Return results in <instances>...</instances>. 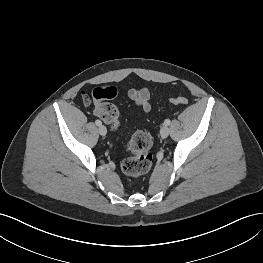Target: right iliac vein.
Listing matches in <instances>:
<instances>
[{
	"label": "right iliac vein",
	"mask_w": 263,
	"mask_h": 263,
	"mask_svg": "<svg viewBox=\"0 0 263 263\" xmlns=\"http://www.w3.org/2000/svg\"><path fill=\"white\" fill-rule=\"evenodd\" d=\"M98 131H99L100 135H102V136H105L107 134V129L103 125L99 126Z\"/></svg>",
	"instance_id": "obj_1"
}]
</instances>
